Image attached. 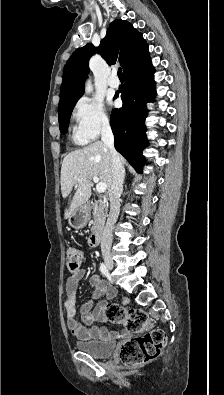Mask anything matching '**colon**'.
I'll list each match as a JSON object with an SVG mask.
<instances>
[{
	"instance_id": "1",
	"label": "colon",
	"mask_w": 224,
	"mask_h": 395,
	"mask_svg": "<svg viewBox=\"0 0 224 395\" xmlns=\"http://www.w3.org/2000/svg\"><path fill=\"white\" fill-rule=\"evenodd\" d=\"M68 269L77 272L83 261L82 252L71 247L66 252ZM106 318L114 323L123 325L125 329L136 334L125 341L119 348V359L129 366L144 365L156 359L165 345V332L150 324L146 313L139 309H126L118 304H108L105 309Z\"/></svg>"
}]
</instances>
